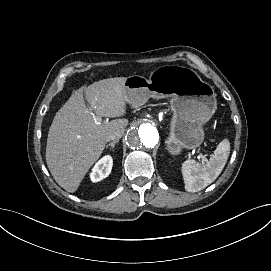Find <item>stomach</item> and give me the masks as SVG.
Here are the masks:
<instances>
[{"label":"stomach","mask_w":271,"mask_h":271,"mask_svg":"<svg viewBox=\"0 0 271 271\" xmlns=\"http://www.w3.org/2000/svg\"><path fill=\"white\" fill-rule=\"evenodd\" d=\"M125 97L135 105L143 104L149 97H171L173 114L165 146L172 156L199 148L205 139L204 127L217 111L213 87L185 67H160L149 80L131 76L125 82Z\"/></svg>","instance_id":"obj_1"}]
</instances>
